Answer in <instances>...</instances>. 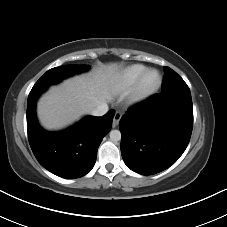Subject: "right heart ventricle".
I'll return each instance as SVG.
<instances>
[{
    "label": "right heart ventricle",
    "mask_w": 227,
    "mask_h": 227,
    "mask_svg": "<svg viewBox=\"0 0 227 227\" xmlns=\"http://www.w3.org/2000/svg\"><path fill=\"white\" fill-rule=\"evenodd\" d=\"M146 69L145 66L140 64H133L122 69L115 77V90L119 92L132 90Z\"/></svg>",
    "instance_id": "1"
}]
</instances>
